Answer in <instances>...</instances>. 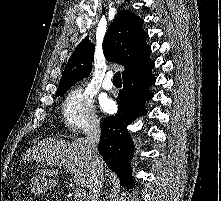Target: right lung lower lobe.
<instances>
[{"label": "right lung lower lobe", "mask_w": 221, "mask_h": 201, "mask_svg": "<svg viewBox=\"0 0 221 201\" xmlns=\"http://www.w3.org/2000/svg\"><path fill=\"white\" fill-rule=\"evenodd\" d=\"M154 66L152 63L142 71L123 78V89L116 99L118 112L102 123L98 150L108 167L119 176L121 185L126 187L134 183L130 166L134 144L127 126L145 114L144 103L152 98L149 87L156 80L151 72Z\"/></svg>", "instance_id": "obj_1"}]
</instances>
